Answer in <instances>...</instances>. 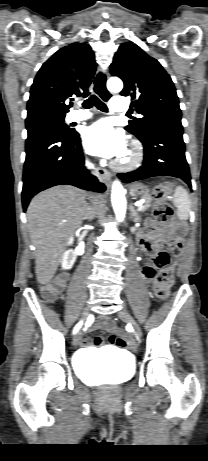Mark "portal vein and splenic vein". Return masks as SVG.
Masks as SVG:
<instances>
[{
    "label": "portal vein and splenic vein",
    "mask_w": 208,
    "mask_h": 461,
    "mask_svg": "<svg viewBox=\"0 0 208 461\" xmlns=\"http://www.w3.org/2000/svg\"><path fill=\"white\" fill-rule=\"evenodd\" d=\"M144 202H145V200L142 199V200L136 202L134 205H135L136 207H138V210H139V208L144 204Z\"/></svg>",
    "instance_id": "obj_1"
}]
</instances>
